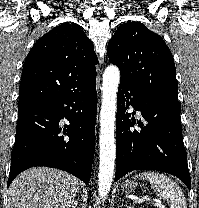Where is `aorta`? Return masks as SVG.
Segmentation results:
<instances>
[{
  "label": "aorta",
  "instance_id": "aorta-1",
  "mask_svg": "<svg viewBox=\"0 0 199 208\" xmlns=\"http://www.w3.org/2000/svg\"><path fill=\"white\" fill-rule=\"evenodd\" d=\"M120 82V71L117 66H108L103 74L102 106L100 112V163L98 194L101 199L108 195L114 175L115 166V118L116 98Z\"/></svg>",
  "mask_w": 199,
  "mask_h": 208
}]
</instances>
